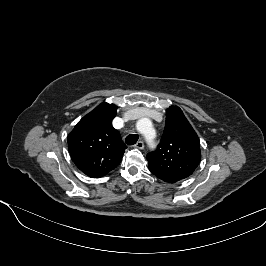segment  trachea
Returning <instances> with one entry per match:
<instances>
[{
    "mask_svg": "<svg viewBox=\"0 0 266 266\" xmlns=\"http://www.w3.org/2000/svg\"><path fill=\"white\" fill-rule=\"evenodd\" d=\"M125 141L128 145H134L138 141V135L130 134L126 137Z\"/></svg>",
    "mask_w": 266,
    "mask_h": 266,
    "instance_id": "trachea-1",
    "label": "trachea"
}]
</instances>
